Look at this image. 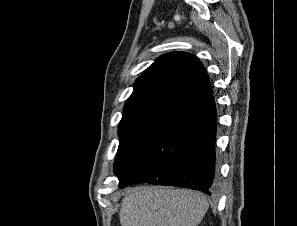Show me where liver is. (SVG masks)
<instances>
[{
  "mask_svg": "<svg viewBox=\"0 0 297 226\" xmlns=\"http://www.w3.org/2000/svg\"><path fill=\"white\" fill-rule=\"evenodd\" d=\"M208 208L198 192L136 187L122 200L119 218L121 226H197Z\"/></svg>",
  "mask_w": 297,
  "mask_h": 226,
  "instance_id": "1",
  "label": "liver"
}]
</instances>
